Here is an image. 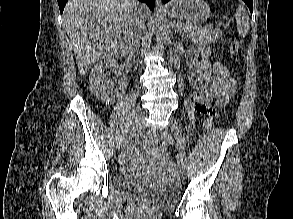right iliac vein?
Here are the masks:
<instances>
[{
	"label": "right iliac vein",
	"mask_w": 293,
	"mask_h": 219,
	"mask_svg": "<svg viewBox=\"0 0 293 219\" xmlns=\"http://www.w3.org/2000/svg\"><path fill=\"white\" fill-rule=\"evenodd\" d=\"M144 119L145 114L141 113L134 121L132 127L130 128L128 134L122 138L119 142L118 148L123 149L130 141L131 139L141 131L143 125H144Z\"/></svg>",
	"instance_id": "1"
}]
</instances>
